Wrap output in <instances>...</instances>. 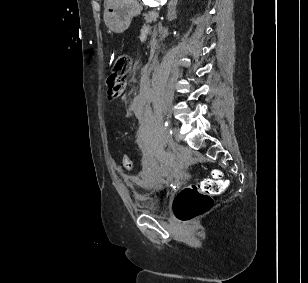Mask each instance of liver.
Masks as SVG:
<instances>
[{
    "instance_id": "obj_1",
    "label": "liver",
    "mask_w": 308,
    "mask_h": 283,
    "mask_svg": "<svg viewBox=\"0 0 308 283\" xmlns=\"http://www.w3.org/2000/svg\"><path fill=\"white\" fill-rule=\"evenodd\" d=\"M116 0H106V7L115 2Z\"/></svg>"
}]
</instances>
